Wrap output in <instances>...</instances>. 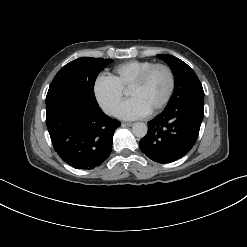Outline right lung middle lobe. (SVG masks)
Listing matches in <instances>:
<instances>
[{
    "instance_id": "dd1d6c3e",
    "label": "right lung middle lobe",
    "mask_w": 247,
    "mask_h": 247,
    "mask_svg": "<svg viewBox=\"0 0 247 247\" xmlns=\"http://www.w3.org/2000/svg\"><path fill=\"white\" fill-rule=\"evenodd\" d=\"M113 60L81 57L63 66L50 84L46 105L61 98H80L98 104L94 84L98 74Z\"/></svg>"
}]
</instances>
